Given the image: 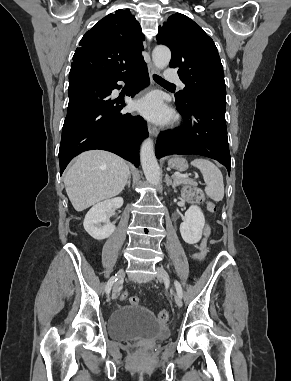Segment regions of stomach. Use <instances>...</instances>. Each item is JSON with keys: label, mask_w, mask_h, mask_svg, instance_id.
I'll return each instance as SVG.
<instances>
[{"label": "stomach", "mask_w": 291, "mask_h": 381, "mask_svg": "<svg viewBox=\"0 0 291 381\" xmlns=\"http://www.w3.org/2000/svg\"><path fill=\"white\" fill-rule=\"evenodd\" d=\"M168 164L171 168L178 171H185L188 168V163L184 158L174 157L168 161Z\"/></svg>", "instance_id": "0dacf381"}]
</instances>
